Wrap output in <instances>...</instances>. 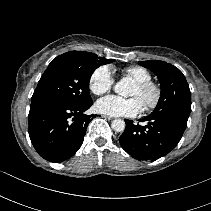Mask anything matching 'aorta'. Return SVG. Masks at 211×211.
I'll use <instances>...</instances> for the list:
<instances>
[{"label": "aorta", "instance_id": "1", "mask_svg": "<svg viewBox=\"0 0 211 211\" xmlns=\"http://www.w3.org/2000/svg\"><path fill=\"white\" fill-rule=\"evenodd\" d=\"M114 91L119 95H125L127 92V82L124 80L117 82L114 86ZM111 127L116 132H122L125 129V122L121 119H115L112 121Z\"/></svg>", "mask_w": 211, "mask_h": 211}]
</instances>
